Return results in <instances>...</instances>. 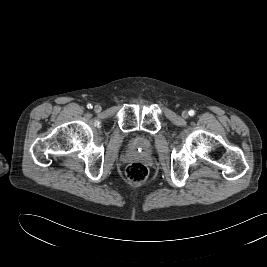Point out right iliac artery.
Segmentation results:
<instances>
[{
    "mask_svg": "<svg viewBox=\"0 0 267 267\" xmlns=\"http://www.w3.org/2000/svg\"><path fill=\"white\" fill-rule=\"evenodd\" d=\"M93 106L91 104H87V108L91 109Z\"/></svg>",
    "mask_w": 267,
    "mask_h": 267,
    "instance_id": "1",
    "label": "right iliac artery"
}]
</instances>
